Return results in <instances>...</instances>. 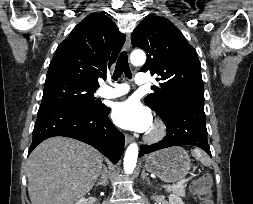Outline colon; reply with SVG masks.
<instances>
[{"instance_id": "colon-1", "label": "colon", "mask_w": 253, "mask_h": 204, "mask_svg": "<svg viewBox=\"0 0 253 204\" xmlns=\"http://www.w3.org/2000/svg\"><path fill=\"white\" fill-rule=\"evenodd\" d=\"M191 191L198 198L200 204H214L211 192V177L201 175L191 183Z\"/></svg>"}]
</instances>
